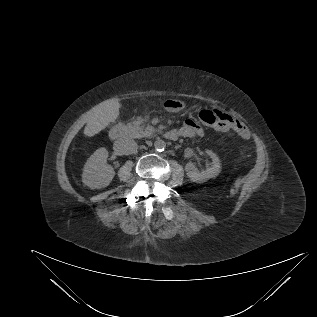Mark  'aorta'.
I'll return each mask as SVG.
<instances>
[{
  "mask_svg": "<svg viewBox=\"0 0 317 317\" xmlns=\"http://www.w3.org/2000/svg\"><path fill=\"white\" fill-rule=\"evenodd\" d=\"M154 147L157 151H163L166 147V143H165V141L158 139L155 141Z\"/></svg>",
  "mask_w": 317,
  "mask_h": 317,
  "instance_id": "aorta-1",
  "label": "aorta"
}]
</instances>
